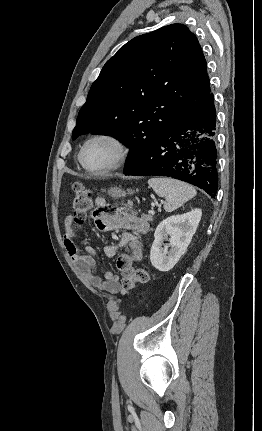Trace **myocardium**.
Returning <instances> with one entry per match:
<instances>
[{
	"label": "myocardium",
	"instance_id": "myocardium-1",
	"mask_svg": "<svg viewBox=\"0 0 262 431\" xmlns=\"http://www.w3.org/2000/svg\"><path fill=\"white\" fill-rule=\"evenodd\" d=\"M100 140H105V141L111 142L116 148V155H115L114 161L112 162V164L110 166H108L104 169H100V170H92L84 164V159H83L84 154H85L87 147L91 143H93L95 141H100ZM129 152H130L129 145L121 136H119L115 133L104 132V133L95 134V135L91 136L90 138H88L84 142L83 146L80 149V152L78 155V160H79L81 167L88 174L93 175V176H100V175L109 174L111 172H114V171L120 169L124 165V163L126 162L128 155H129Z\"/></svg>",
	"mask_w": 262,
	"mask_h": 431
}]
</instances>
